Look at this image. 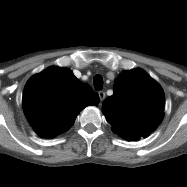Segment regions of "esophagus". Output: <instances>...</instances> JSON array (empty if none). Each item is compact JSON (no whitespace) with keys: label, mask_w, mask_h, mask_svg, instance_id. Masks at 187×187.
Returning <instances> with one entry per match:
<instances>
[{"label":"esophagus","mask_w":187,"mask_h":187,"mask_svg":"<svg viewBox=\"0 0 187 187\" xmlns=\"http://www.w3.org/2000/svg\"><path fill=\"white\" fill-rule=\"evenodd\" d=\"M98 95H99L100 101L103 102L104 99H105V97H106L105 92H104V91H99V92H98Z\"/></svg>","instance_id":"34e87169"}]
</instances>
